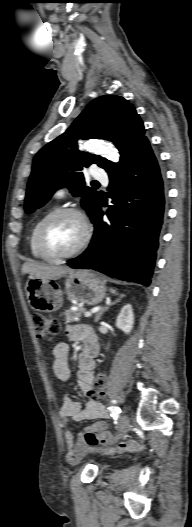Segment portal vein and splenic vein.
<instances>
[{
	"label": "portal vein and splenic vein",
	"mask_w": 192,
	"mask_h": 527,
	"mask_svg": "<svg viewBox=\"0 0 192 527\" xmlns=\"http://www.w3.org/2000/svg\"><path fill=\"white\" fill-rule=\"evenodd\" d=\"M91 315H92V313L89 312V311H88V312H84V316H85V317H90Z\"/></svg>",
	"instance_id": "18ae733b"
}]
</instances>
